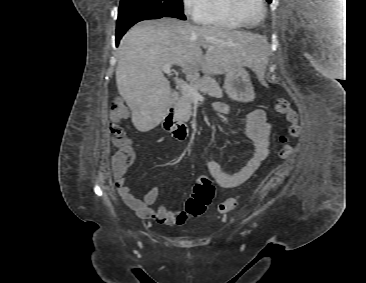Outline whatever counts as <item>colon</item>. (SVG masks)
<instances>
[{"label": "colon", "mask_w": 366, "mask_h": 283, "mask_svg": "<svg viewBox=\"0 0 366 283\" xmlns=\"http://www.w3.org/2000/svg\"><path fill=\"white\" fill-rule=\"evenodd\" d=\"M275 110L283 115L289 123L286 132L279 137V156L281 159H287L292 153L290 140L299 134L298 115L286 99H278L275 103ZM126 114L127 110L123 103L118 100L112 102L109 111L111 141L119 150L115 154V161L121 167H128L134 158V149L131 141L123 127L119 124ZM214 193L215 187L212 181L207 176H200L196 181L192 195L186 201V214L193 217L200 216L211 203ZM236 204V198H229L218 205V212L222 214L227 213Z\"/></svg>", "instance_id": "obj_1"}]
</instances>
